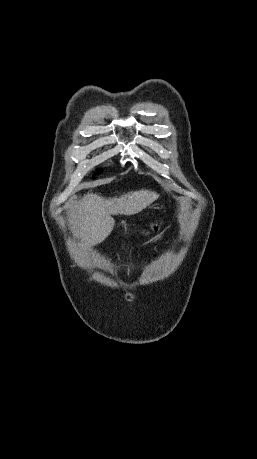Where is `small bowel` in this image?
I'll return each instance as SVG.
<instances>
[{
    "instance_id": "small-bowel-1",
    "label": "small bowel",
    "mask_w": 257,
    "mask_h": 459,
    "mask_svg": "<svg viewBox=\"0 0 257 459\" xmlns=\"http://www.w3.org/2000/svg\"><path fill=\"white\" fill-rule=\"evenodd\" d=\"M153 225H154V227L157 228V227H159L160 224H159V222L156 221V222H154ZM141 237H142V238H147V237H148V232H147V231H142V232H141Z\"/></svg>"
}]
</instances>
